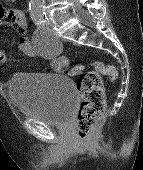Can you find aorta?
<instances>
[{"label": "aorta", "mask_w": 143, "mask_h": 170, "mask_svg": "<svg viewBox=\"0 0 143 170\" xmlns=\"http://www.w3.org/2000/svg\"><path fill=\"white\" fill-rule=\"evenodd\" d=\"M29 10L32 18H43L44 10L42 9L40 0H30Z\"/></svg>", "instance_id": "obj_1"}]
</instances>
